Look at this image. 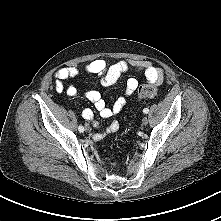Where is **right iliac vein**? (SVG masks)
<instances>
[{
	"instance_id": "1",
	"label": "right iliac vein",
	"mask_w": 221,
	"mask_h": 221,
	"mask_svg": "<svg viewBox=\"0 0 221 221\" xmlns=\"http://www.w3.org/2000/svg\"><path fill=\"white\" fill-rule=\"evenodd\" d=\"M85 129H86V130H89V127L86 125V126H85Z\"/></svg>"
}]
</instances>
